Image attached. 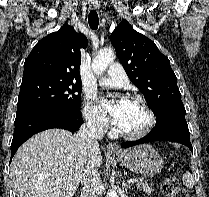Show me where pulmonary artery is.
<instances>
[{
    "instance_id": "pulmonary-artery-1",
    "label": "pulmonary artery",
    "mask_w": 209,
    "mask_h": 197,
    "mask_svg": "<svg viewBox=\"0 0 209 197\" xmlns=\"http://www.w3.org/2000/svg\"><path fill=\"white\" fill-rule=\"evenodd\" d=\"M128 82L127 75L123 67L118 63H112L108 68L107 77L101 83L111 87H123Z\"/></svg>"
}]
</instances>
